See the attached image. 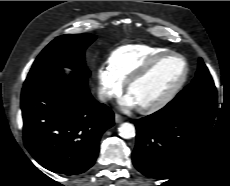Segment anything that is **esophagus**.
<instances>
[{"mask_svg":"<svg viewBox=\"0 0 230 186\" xmlns=\"http://www.w3.org/2000/svg\"><path fill=\"white\" fill-rule=\"evenodd\" d=\"M124 120V117L121 116L120 114H115V122L116 123H121Z\"/></svg>","mask_w":230,"mask_h":186,"instance_id":"1","label":"esophagus"}]
</instances>
